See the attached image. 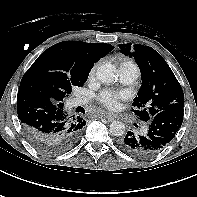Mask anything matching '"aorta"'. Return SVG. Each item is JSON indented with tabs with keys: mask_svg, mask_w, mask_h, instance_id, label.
<instances>
[{
	"mask_svg": "<svg viewBox=\"0 0 197 197\" xmlns=\"http://www.w3.org/2000/svg\"><path fill=\"white\" fill-rule=\"evenodd\" d=\"M96 78L106 84L116 82L118 73L116 67L111 63H104L98 66L96 70ZM125 132V125L121 121H113L110 124V133L113 136H123Z\"/></svg>",
	"mask_w": 197,
	"mask_h": 197,
	"instance_id": "obj_1",
	"label": "aorta"
}]
</instances>
